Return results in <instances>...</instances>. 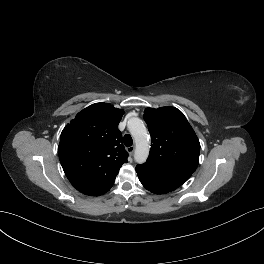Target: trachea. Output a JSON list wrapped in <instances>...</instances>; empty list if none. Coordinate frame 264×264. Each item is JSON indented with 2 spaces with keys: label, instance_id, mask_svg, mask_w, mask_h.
Here are the masks:
<instances>
[{
  "label": "trachea",
  "instance_id": "trachea-1",
  "mask_svg": "<svg viewBox=\"0 0 264 264\" xmlns=\"http://www.w3.org/2000/svg\"><path fill=\"white\" fill-rule=\"evenodd\" d=\"M123 142L127 147H130L133 144L132 137L129 134H126L123 138Z\"/></svg>",
  "mask_w": 264,
  "mask_h": 264
}]
</instances>
